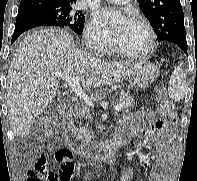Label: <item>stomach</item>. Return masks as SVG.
<instances>
[{"label":"stomach","mask_w":197,"mask_h":181,"mask_svg":"<svg viewBox=\"0 0 197 181\" xmlns=\"http://www.w3.org/2000/svg\"><path fill=\"white\" fill-rule=\"evenodd\" d=\"M157 75L158 69L152 63L138 62L131 79L137 87L145 88L154 82Z\"/></svg>","instance_id":"obj_1"}]
</instances>
